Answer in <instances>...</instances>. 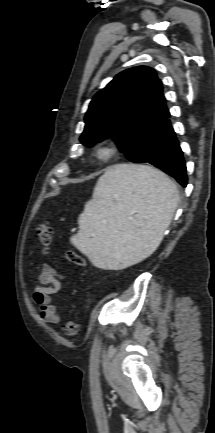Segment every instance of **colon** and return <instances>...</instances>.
Masks as SVG:
<instances>
[{
  "instance_id": "5ec220e1",
  "label": "colon",
  "mask_w": 215,
  "mask_h": 433,
  "mask_svg": "<svg viewBox=\"0 0 215 433\" xmlns=\"http://www.w3.org/2000/svg\"><path fill=\"white\" fill-rule=\"evenodd\" d=\"M36 236L40 242L44 253H48L52 244L53 229L48 221H44L39 224L36 228ZM66 258L69 262L74 263L78 266H85L86 262L84 258L76 251L69 250L66 253ZM80 331V324L76 321H67L63 325L64 335L67 337H74Z\"/></svg>"
}]
</instances>
